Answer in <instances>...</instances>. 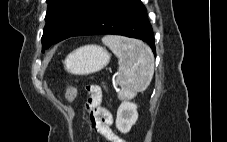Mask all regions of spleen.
<instances>
[{
    "label": "spleen",
    "mask_w": 227,
    "mask_h": 142,
    "mask_svg": "<svg viewBox=\"0 0 227 142\" xmlns=\"http://www.w3.org/2000/svg\"><path fill=\"white\" fill-rule=\"evenodd\" d=\"M102 42L118 57L119 99H131L146 90L154 74V57L149 46L139 40L115 35L103 37Z\"/></svg>",
    "instance_id": "spleen-1"
}]
</instances>
